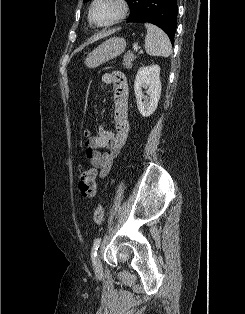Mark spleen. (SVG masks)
I'll return each instance as SVG.
<instances>
[{
	"instance_id": "3e777b00",
	"label": "spleen",
	"mask_w": 245,
	"mask_h": 314,
	"mask_svg": "<svg viewBox=\"0 0 245 314\" xmlns=\"http://www.w3.org/2000/svg\"><path fill=\"white\" fill-rule=\"evenodd\" d=\"M147 34L145 37V50L150 56L169 57L171 54V43L164 31L159 27L145 23Z\"/></svg>"
}]
</instances>
